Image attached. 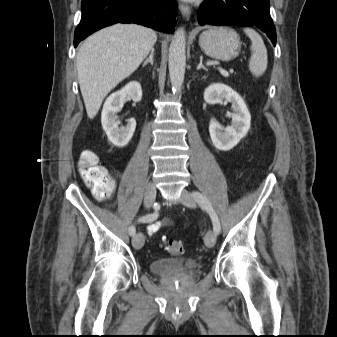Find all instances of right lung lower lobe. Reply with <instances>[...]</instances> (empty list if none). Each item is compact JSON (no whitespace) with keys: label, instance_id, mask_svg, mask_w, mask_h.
I'll use <instances>...</instances> for the list:
<instances>
[{"label":"right lung lower lobe","instance_id":"obj_1","mask_svg":"<svg viewBox=\"0 0 337 337\" xmlns=\"http://www.w3.org/2000/svg\"><path fill=\"white\" fill-rule=\"evenodd\" d=\"M81 21L74 46L93 32L115 23H136L172 33L176 24V0H82Z\"/></svg>","mask_w":337,"mask_h":337}]
</instances>
